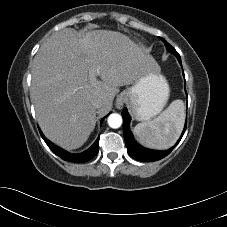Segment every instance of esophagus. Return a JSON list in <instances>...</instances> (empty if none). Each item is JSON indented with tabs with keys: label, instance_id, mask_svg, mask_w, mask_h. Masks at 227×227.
Listing matches in <instances>:
<instances>
[{
	"label": "esophagus",
	"instance_id": "34e87169",
	"mask_svg": "<svg viewBox=\"0 0 227 227\" xmlns=\"http://www.w3.org/2000/svg\"><path fill=\"white\" fill-rule=\"evenodd\" d=\"M126 102H127V96L122 93L117 97L115 106L117 109H121V108H123V106L125 105Z\"/></svg>",
	"mask_w": 227,
	"mask_h": 227
}]
</instances>
